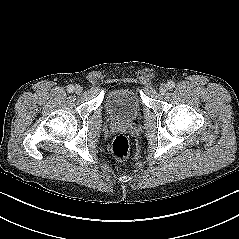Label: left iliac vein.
<instances>
[{"label": "left iliac vein", "mask_w": 239, "mask_h": 239, "mask_svg": "<svg viewBox=\"0 0 239 239\" xmlns=\"http://www.w3.org/2000/svg\"><path fill=\"white\" fill-rule=\"evenodd\" d=\"M167 90H168V86H167L166 84H162V85L160 86V88H159V92H160L161 94L166 93Z\"/></svg>", "instance_id": "left-iliac-vein-1"}]
</instances>
